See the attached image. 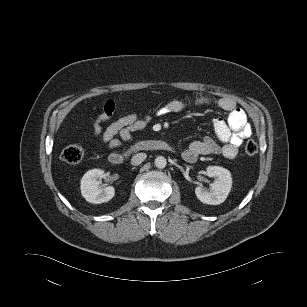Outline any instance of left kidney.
I'll return each mask as SVG.
<instances>
[{
	"label": "left kidney",
	"mask_w": 307,
	"mask_h": 307,
	"mask_svg": "<svg viewBox=\"0 0 307 307\" xmlns=\"http://www.w3.org/2000/svg\"><path fill=\"white\" fill-rule=\"evenodd\" d=\"M206 175L214 177L215 181L211 184V190L208 191L202 186L195 188L197 198L205 204L218 205L223 203L232 187V178L229 170L220 166H208Z\"/></svg>",
	"instance_id": "5707ae66"
}]
</instances>
